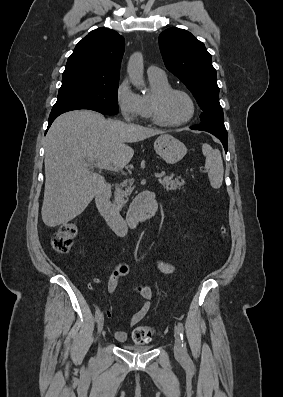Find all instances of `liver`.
Returning <instances> with one entry per match:
<instances>
[{"label": "liver", "instance_id": "1", "mask_svg": "<svg viewBox=\"0 0 283 397\" xmlns=\"http://www.w3.org/2000/svg\"><path fill=\"white\" fill-rule=\"evenodd\" d=\"M163 132L119 120H106L91 110L60 115L50 127L45 144V190L41 210L48 227L80 215L105 183L92 164L109 162L118 170L132 159L127 143ZM98 167V166H97Z\"/></svg>", "mask_w": 283, "mask_h": 397}]
</instances>
